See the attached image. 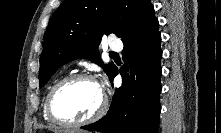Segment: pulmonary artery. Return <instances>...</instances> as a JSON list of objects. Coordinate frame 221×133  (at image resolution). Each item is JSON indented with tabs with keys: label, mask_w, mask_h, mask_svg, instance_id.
Masks as SVG:
<instances>
[{
	"label": "pulmonary artery",
	"mask_w": 221,
	"mask_h": 133,
	"mask_svg": "<svg viewBox=\"0 0 221 133\" xmlns=\"http://www.w3.org/2000/svg\"><path fill=\"white\" fill-rule=\"evenodd\" d=\"M123 47V44L121 41L117 39H113L109 42V49L113 51H120Z\"/></svg>",
	"instance_id": "e3ab8cb5"
}]
</instances>
